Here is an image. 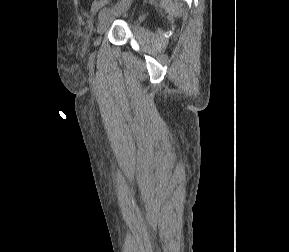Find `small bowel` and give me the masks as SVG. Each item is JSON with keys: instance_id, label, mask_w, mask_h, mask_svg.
Returning a JSON list of instances; mask_svg holds the SVG:
<instances>
[{"instance_id": "small-bowel-1", "label": "small bowel", "mask_w": 289, "mask_h": 252, "mask_svg": "<svg viewBox=\"0 0 289 252\" xmlns=\"http://www.w3.org/2000/svg\"><path fill=\"white\" fill-rule=\"evenodd\" d=\"M108 2L109 0H92L90 5V11L97 12L102 9Z\"/></svg>"}]
</instances>
